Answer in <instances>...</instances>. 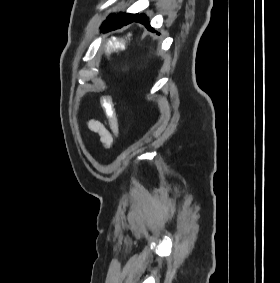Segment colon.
Segmentation results:
<instances>
[{"mask_svg":"<svg viewBox=\"0 0 280 283\" xmlns=\"http://www.w3.org/2000/svg\"><path fill=\"white\" fill-rule=\"evenodd\" d=\"M124 37L126 38L125 46H119L118 42H122V37H110L109 41L106 43V46L108 47V50H103V55H110L111 51H116L117 55H123L124 51L128 50V47L131 46V43L133 41L132 37H135V32H124ZM115 41V42H113ZM102 107L104 109V112L106 114L108 122L113 126L114 132L117 135L118 134V122H117V115L115 111L114 104L109 96H103L101 99Z\"/></svg>","mask_w":280,"mask_h":283,"instance_id":"5ec220e1","label":"colon"}]
</instances>
